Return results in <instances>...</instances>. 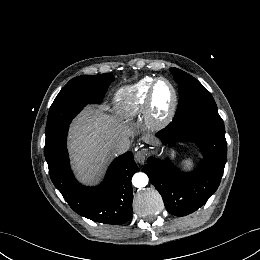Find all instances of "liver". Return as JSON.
Wrapping results in <instances>:
<instances>
[{
	"label": "liver",
	"instance_id": "obj_1",
	"mask_svg": "<svg viewBox=\"0 0 260 260\" xmlns=\"http://www.w3.org/2000/svg\"><path fill=\"white\" fill-rule=\"evenodd\" d=\"M120 135L130 136L112 117L94 107H86L72 122L69 151L78 179L88 185L96 183L113 157L112 145Z\"/></svg>",
	"mask_w": 260,
	"mask_h": 260
}]
</instances>
